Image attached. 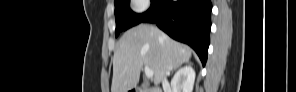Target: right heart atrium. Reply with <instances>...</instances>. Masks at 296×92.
Returning a JSON list of instances; mask_svg holds the SVG:
<instances>
[{"instance_id": "d8ad5b80", "label": "right heart atrium", "mask_w": 296, "mask_h": 92, "mask_svg": "<svg viewBox=\"0 0 296 92\" xmlns=\"http://www.w3.org/2000/svg\"><path fill=\"white\" fill-rule=\"evenodd\" d=\"M133 8L137 13L145 12L149 7V2L144 0H134L132 1Z\"/></svg>"}]
</instances>
